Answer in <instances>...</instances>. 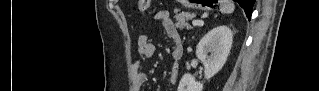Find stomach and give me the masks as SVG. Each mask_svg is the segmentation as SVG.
<instances>
[{"instance_id": "obj_1", "label": "stomach", "mask_w": 319, "mask_h": 91, "mask_svg": "<svg viewBox=\"0 0 319 91\" xmlns=\"http://www.w3.org/2000/svg\"><path fill=\"white\" fill-rule=\"evenodd\" d=\"M217 1L215 0H204V1H190L186 3V6L190 8H199L203 10H211L215 7Z\"/></svg>"}]
</instances>
